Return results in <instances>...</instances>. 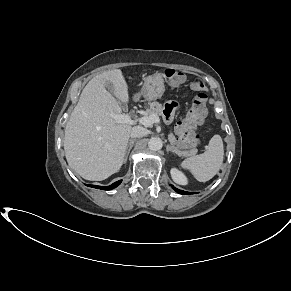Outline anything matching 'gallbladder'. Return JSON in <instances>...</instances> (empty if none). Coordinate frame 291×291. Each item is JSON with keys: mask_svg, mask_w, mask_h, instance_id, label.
Returning a JSON list of instances; mask_svg holds the SVG:
<instances>
[{"mask_svg": "<svg viewBox=\"0 0 291 291\" xmlns=\"http://www.w3.org/2000/svg\"><path fill=\"white\" fill-rule=\"evenodd\" d=\"M107 88L112 92V90H111V89H112L111 85L108 86ZM118 102H119V104L121 105L122 108H126V104H125V103H123V102L120 101V100H118Z\"/></svg>", "mask_w": 291, "mask_h": 291, "instance_id": "1", "label": "gallbladder"}]
</instances>
